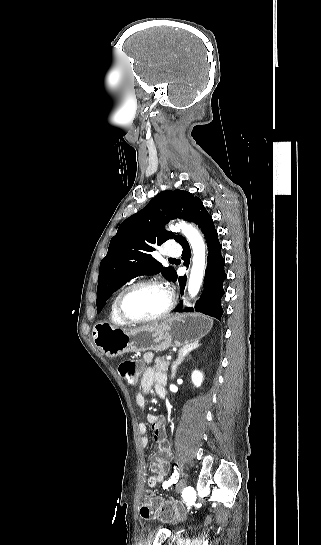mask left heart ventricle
Segmentation results:
<instances>
[{
	"mask_svg": "<svg viewBox=\"0 0 321 545\" xmlns=\"http://www.w3.org/2000/svg\"><path fill=\"white\" fill-rule=\"evenodd\" d=\"M168 304L169 298L164 291L138 288L125 295L122 307L129 319L141 320L159 315L167 308Z\"/></svg>",
	"mask_w": 321,
	"mask_h": 545,
	"instance_id": "left-heart-ventricle-1",
	"label": "left heart ventricle"
}]
</instances>
